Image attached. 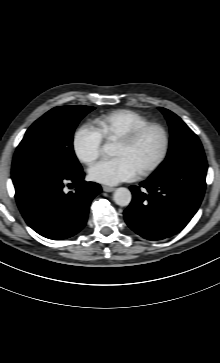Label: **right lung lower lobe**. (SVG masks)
<instances>
[{"instance_id": "obj_1", "label": "right lung lower lobe", "mask_w": 220, "mask_h": 363, "mask_svg": "<svg viewBox=\"0 0 220 363\" xmlns=\"http://www.w3.org/2000/svg\"><path fill=\"white\" fill-rule=\"evenodd\" d=\"M84 173L37 176L15 185L16 201L27 224L40 235L60 240L72 237L86 224L92 199L101 192L99 184L85 182ZM66 182L77 183L65 193Z\"/></svg>"}]
</instances>
